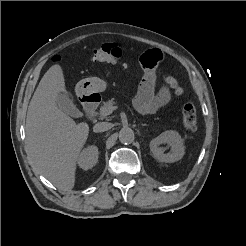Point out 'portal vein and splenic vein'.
<instances>
[{"instance_id":"18ae733b","label":"portal vein and splenic vein","mask_w":246,"mask_h":246,"mask_svg":"<svg viewBox=\"0 0 246 246\" xmlns=\"http://www.w3.org/2000/svg\"><path fill=\"white\" fill-rule=\"evenodd\" d=\"M116 109H118L117 106L106 107V108H104V109H102V110L100 111V114H101L102 116H107V115H110V114H111L114 110H116Z\"/></svg>"}]
</instances>
